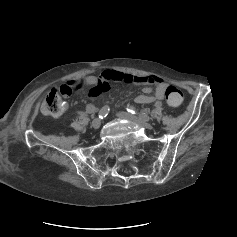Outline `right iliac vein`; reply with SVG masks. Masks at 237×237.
<instances>
[{
	"label": "right iliac vein",
	"mask_w": 237,
	"mask_h": 237,
	"mask_svg": "<svg viewBox=\"0 0 237 237\" xmlns=\"http://www.w3.org/2000/svg\"><path fill=\"white\" fill-rule=\"evenodd\" d=\"M101 125V120L99 118H96L92 121L91 123V126L94 128V129H98Z\"/></svg>",
	"instance_id": "right-iliac-vein-1"
}]
</instances>
